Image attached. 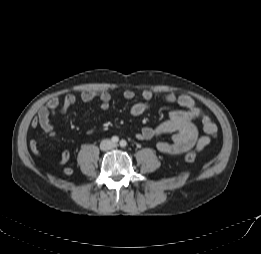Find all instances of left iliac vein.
Instances as JSON below:
<instances>
[{
  "instance_id": "4c4485c4",
  "label": "left iliac vein",
  "mask_w": 261,
  "mask_h": 254,
  "mask_svg": "<svg viewBox=\"0 0 261 254\" xmlns=\"http://www.w3.org/2000/svg\"><path fill=\"white\" fill-rule=\"evenodd\" d=\"M112 147H113V148H116V147H117V145H116V144H113V145H112Z\"/></svg>"
}]
</instances>
